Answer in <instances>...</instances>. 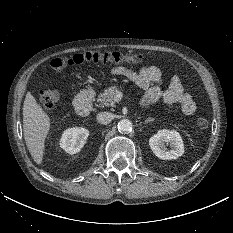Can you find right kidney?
Listing matches in <instances>:
<instances>
[{"mask_svg":"<svg viewBox=\"0 0 233 233\" xmlns=\"http://www.w3.org/2000/svg\"><path fill=\"white\" fill-rule=\"evenodd\" d=\"M88 136L89 131L85 128H69L61 136L60 147L69 154H76L84 146Z\"/></svg>","mask_w":233,"mask_h":233,"instance_id":"ca27d5eb","label":"right kidney"}]
</instances>
